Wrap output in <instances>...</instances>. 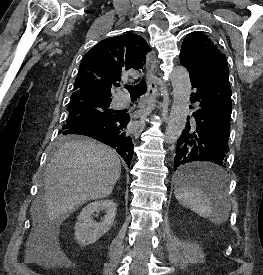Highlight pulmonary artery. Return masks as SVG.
<instances>
[{
	"mask_svg": "<svg viewBox=\"0 0 263 275\" xmlns=\"http://www.w3.org/2000/svg\"><path fill=\"white\" fill-rule=\"evenodd\" d=\"M129 101L127 94L119 93L115 96L113 104L116 108H124L129 104Z\"/></svg>",
	"mask_w": 263,
	"mask_h": 275,
	"instance_id": "obj_1",
	"label": "pulmonary artery"
}]
</instances>
